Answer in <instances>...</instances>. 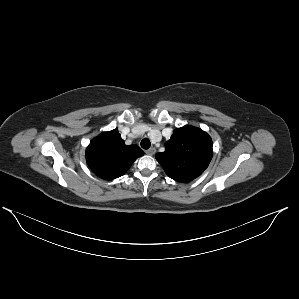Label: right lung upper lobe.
<instances>
[{"mask_svg":"<svg viewBox=\"0 0 299 299\" xmlns=\"http://www.w3.org/2000/svg\"><path fill=\"white\" fill-rule=\"evenodd\" d=\"M144 152L138 145H125L117 130L103 132L91 140L86 149V161L102 179H115L125 174Z\"/></svg>","mask_w":299,"mask_h":299,"instance_id":"1","label":"right lung upper lobe"}]
</instances>
